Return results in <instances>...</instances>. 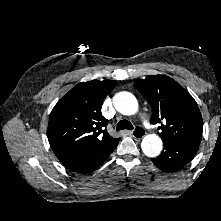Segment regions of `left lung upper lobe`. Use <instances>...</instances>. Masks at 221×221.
<instances>
[{"label": "left lung upper lobe", "mask_w": 221, "mask_h": 221, "mask_svg": "<svg viewBox=\"0 0 221 221\" xmlns=\"http://www.w3.org/2000/svg\"><path fill=\"white\" fill-rule=\"evenodd\" d=\"M134 86L152 108V124H161L163 142L201 139L203 122L194 98L176 81L164 75L138 79Z\"/></svg>", "instance_id": "5c2ea615"}]
</instances>
